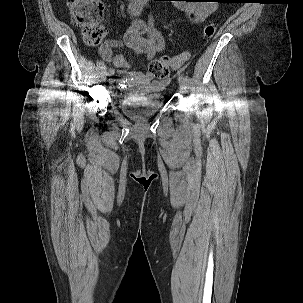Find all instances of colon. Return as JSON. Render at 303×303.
Listing matches in <instances>:
<instances>
[{
    "label": "colon",
    "instance_id": "5ec220e1",
    "mask_svg": "<svg viewBox=\"0 0 303 303\" xmlns=\"http://www.w3.org/2000/svg\"><path fill=\"white\" fill-rule=\"evenodd\" d=\"M67 5L74 25L82 31L85 43L90 46L99 45L106 35L101 23L104 9L101 0H67ZM215 32V23L206 24L203 30L204 38H212ZM188 56L186 53L177 58L163 55L150 62L149 72L156 78H165L172 68H178Z\"/></svg>",
    "mask_w": 303,
    "mask_h": 303
}]
</instances>
